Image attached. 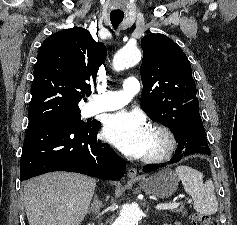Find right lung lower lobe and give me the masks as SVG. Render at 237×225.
I'll return each mask as SVG.
<instances>
[{
  "instance_id": "98d812e1",
  "label": "right lung lower lobe",
  "mask_w": 237,
  "mask_h": 225,
  "mask_svg": "<svg viewBox=\"0 0 237 225\" xmlns=\"http://www.w3.org/2000/svg\"><path fill=\"white\" fill-rule=\"evenodd\" d=\"M101 124L77 128L51 120L31 121L24 139L20 178L52 171H71L105 180H119L125 161L97 140Z\"/></svg>"
}]
</instances>
